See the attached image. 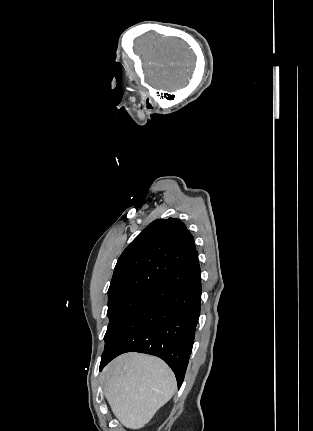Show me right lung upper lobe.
I'll return each instance as SVG.
<instances>
[{"instance_id":"obj_1","label":"right lung upper lobe","mask_w":313,"mask_h":431,"mask_svg":"<svg viewBox=\"0 0 313 431\" xmlns=\"http://www.w3.org/2000/svg\"><path fill=\"white\" fill-rule=\"evenodd\" d=\"M195 250L194 238L180 220L153 221L119 257L108 296L127 292L150 293Z\"/></svg>"}]
</instances>
